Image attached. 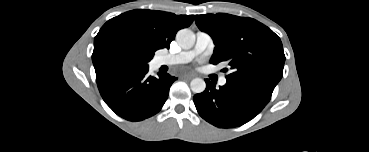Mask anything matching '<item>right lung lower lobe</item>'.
<instances>
[{
    "label": "right lung lower lobe",
    "mask_w": 369,
    "mask_h": 152,
    "mask_svg": "<svg viewBox=\"0 0 369 152\" xmlns=\"http://www.w3.org/2000/svg\"><path fill=\"white\" fill-rule=\"evenodd\" d=\"M149 67L118 72L97 81L105 103L120 117L140 121L160 111L177 78L167 73L149 76Z\"/></svg>",
    "instance_id": "1"
}]
</instances>
